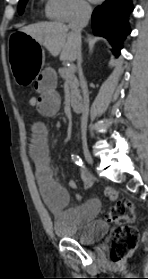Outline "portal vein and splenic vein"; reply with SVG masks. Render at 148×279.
Masks as SVG:
<instances>
[{
	"instance_id": "portal-vein-and-splenic-vein-1",
	"label": "portal vein and splenic vein",
	"mask_w": 148,
	"mask_h": 279,
	"mask_svg": "<svg viewBox=\"0 0 148 279\" xmlns=\"http://www.w3.org/2000/svg\"><path fill=\"white\" fill-rule=\"evenodd\" d=\"M68 69H69V72H74L75 71V66L70 65Z\"/></svg>"
}]
</instances>
